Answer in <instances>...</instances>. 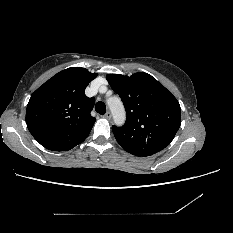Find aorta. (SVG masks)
Wrapping results in <instances>:
<instances>
[{"label": "aorta", "instance_id": "obj_1", "mask_svg": "<svg viewBox=\"0 0 233 233\" xmlns=\"http://www.w3.org/2000/svg\"><path fill=\"white\" fill-rule=\"evenodd\" d=\"M110 110L112 112L114 122L117 125H122L125 121L126 114L124 106L119 98H114V100H110L108 102Z\"/></svg>", "mask_w": 233, "mask_h": 233}]
</instances>
